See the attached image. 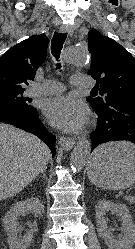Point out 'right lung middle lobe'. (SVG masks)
Returning a JSON list of instances; mask_svg holds the SVG:
<instances>
[{"label":"right lung middle lobe","mask_w":135,"mask_h":249,"mask_svg":"<svg viewBox=\"0 0 135 249\" xmlns=\"http://www.w3.org/2000/svg\"><path fill=\"white\" fill-rule=\"evenodd\" d=\"M24 91H1L0 100H7L11 102L18 103L24 107H32L28 102L27 98L22 96Z\"/></svg>","instance_id":"obj_1"}]
</instances>
